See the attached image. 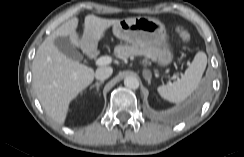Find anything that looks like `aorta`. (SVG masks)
I'll return each mask as SVG.
<instances>
[{"mask_svg":"<svg viewBox=\"0 0 244 157\" xmlns=\"http://www.w3.org/2000/svg\"><path fill=\"white\" fill-rule=\"evenodd\" d=\"M124 85L129 89H137L139 87V80L135 76H127L124 79Z\"/></svg>","mask_w":244,"mask_h":157,"instance_id":"1","label":"aorta"}]
</instances>
